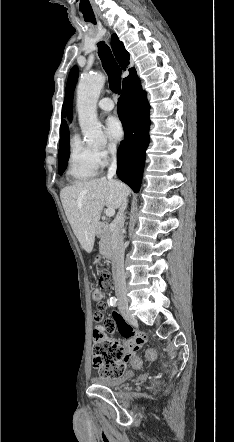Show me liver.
<instances>
[{
	"label": "liver",
	"mask_w": 234,
	"mask_h": 442,
	"mask_svg": "<svg viewBox=\"0 0 234 442\" xmlns=\"http://www.w3.org/2000/svg\"><path fill=\"white\" fill-rule=\"evenodd\" d=\"M129 188L106 178L76 182L60 192L61 202L71 228L82 248L90 253L104 206L117 209L129 195Z\"/></svg>",
	"instance_id": "liver-1"
}]
</instances>
